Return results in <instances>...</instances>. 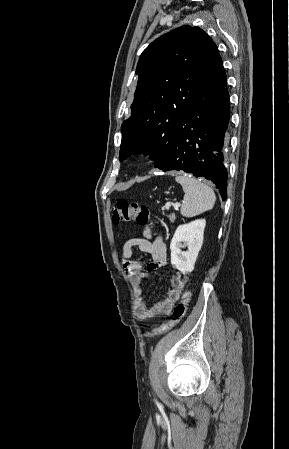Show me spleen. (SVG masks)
Wrapping results in <instances>:
<instances>
[{
    "instance_id": "3e777b00",
    "label": "spleen",
    "mask_w": 289,
    "mask_h": 449,
    "mask_svg": "<svg viewBox=\"0 0 289 449\" xmlns=\"http://www.w3.org/2000/svg\"><path fill=\"white\" fill-rule=\"evenodd\" d=\"M175 180L185 193L180 210L182 216L194 217L214 207L216 196L208 185L186 174L176 176Z\"/></svg>"
}]
</instances>
